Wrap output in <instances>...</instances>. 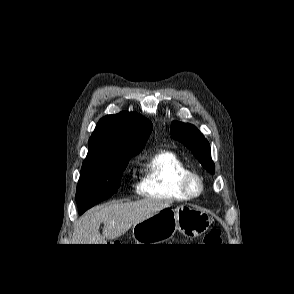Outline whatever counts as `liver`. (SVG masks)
Returning <instances> with one entry per match:
<instances>
[{"instance_id": "6515ba94", "label": "liver", "mask_w": 294, "mask_h": 294, "mask_svg": "<svg viewBox=\"0 0 294 294\" xmlns=\"http://www.w3.org/2000/svg\"><path fill=\"white\" fill-rule=\"evenodd\" d=\"M169 206V201L145 198L96 207L82 215L74 224L72 244H106V239L120 237L131 226ZM101 223L104 224L102 234L99 232Z\"/></svg>"}]
</instances>
